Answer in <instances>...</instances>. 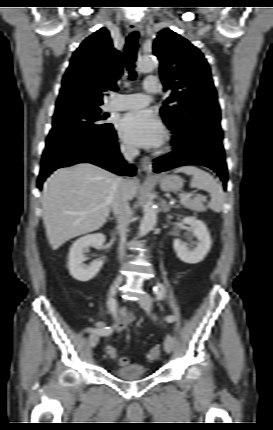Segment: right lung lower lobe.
<instances>
[{
	"mask_svg": "<svg viewBox=\"0 0 273 430\" xmlns=\"http://www.w3.org/2000/svg\"><path fill=\"white\" fill-rule=\"evenodd\" d=\"M88 162L118 175L135 174V168L126 164L121 156L115 131L106 138H96L72 143L43 152L38 187L54 170L76 163Z\"/></svg>",
	"mask_w": 273,
	"mask_h": 430,
	"instance_id": "right-lung-lower-lobe-1",
	"label": "right lung lower lobe"
}]
</instances>
